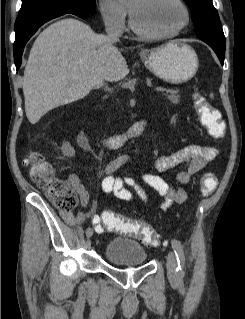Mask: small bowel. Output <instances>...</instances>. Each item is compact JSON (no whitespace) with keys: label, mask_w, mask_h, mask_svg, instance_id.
Returning a JSON list of instances; mask_svg holds the SVG:
<instances>
[{"label":"small bowel","mask_w":245,"mask_h":319,"mask_svg":"<svg viewBox=\"0 0 245 319\" xmlns=\"http://www.w3.org/2000/svg\"><path fill=\"white\" fill-rule=\"evenodd\" d=\"M217 154L218 151L210 146L185 145L170 154L156 158L153 162V166L157 172L161 173L167 172L177 166H183L184 169L176 174V182L179 185H183L187 184L191 177L204 168ZM140 179L164 197L160 205L163 210L169 208L174 203H183L187 198V192L184 188L169 183L158 174L143 173ZM69 182L79 195L80 207L84 208L89 202V193L77 176H70ZM124 184L130 186L132 190L126 189ZM102 187L105 192L111 193L121 201L135 202L138 200L145 205L150 204V198L147 192L132 178H126L123 181L111 176L106 177L102 182ZM95 209L96 203H93L92 210L88 213L61 211L60 215L67 224L72 226L90 219L95 231L97 233H103L105 232V227L101 223V217L95 213Z\"/></svg>","instance_id":"obj_1"}]
</instances>
